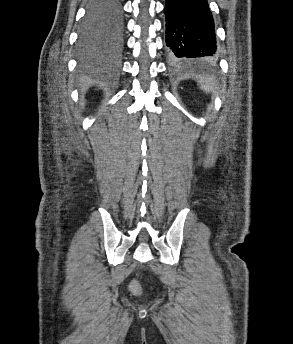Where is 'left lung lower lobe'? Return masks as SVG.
<instances>
[{
    "label": "left lung lower lobe",
    "instance_id": "left-lung-lower-lobe-1",
    "mask_svg": "<svg viewBox=\"0 0 293 344\" xmlns=\"http://www.w3.org/2000/svg\"><path fill=\"white\" fill-rule=\"evenodd\" d=\"M166 44L175 64L216 58L214 21L207 0H166Z\"/></svg>",
    "mask_w": 293,
    "mask_h": 344
}]
</instances>
